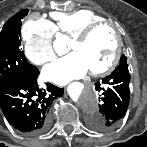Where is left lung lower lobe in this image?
Segmentation results:
<instances>
[{
	"mask_svg": "<svg viewBox=\"0 0 147 147\" xmlns=\"http://www.w3.org/2000/svg\"><path fill=\"white\" fill-rule=\"evenodd\" d=\"M130 74L128 64H120L109 76L95 83L100 92L99 113L87 119V125L96 130H110L125 116L129 104Z\"/></svg>",
	"mask_w": 147,
	"mask_h": 147,
	"instance_id": "left-lung-lower-lobe-1",
	"label": "left lung lower lobe"
}]
</instances>
